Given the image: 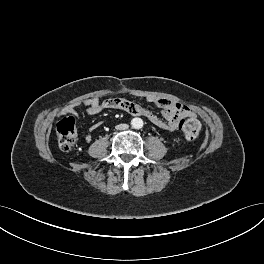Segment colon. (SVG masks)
Wrapping results in <instances>:
<instances>
[{"label": "colon", "instance_id": "obj_1", "mask_svg": "<svg viewBox=\"0 0 264 264\" xmlns=\"http://www.w3.org/2000/svg\"><path fill=\"white\" fill-rule=\"evenodd\" d=\"M179 128L187 140H194L199 135L201 125L195 118H184L180 121ZM56 132L60 149L71 150L77 138L74 117L70 114L62 117L56 124Z\"/></svg>", "mask_w": 264, "mask_h": 264}]
</instances>
